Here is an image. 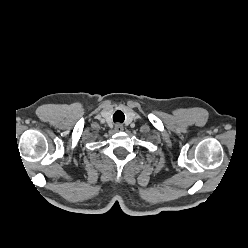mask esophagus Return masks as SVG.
I'll return each mask as SVG.
<instances>
[{
    "label": "esophagus",
    "instance_id": "34e87169",
    "mask_svg": "<svg viewBox=\"0 0 248 248\" xmlns=\"http://www.w3.org/2000/svg\"><path fill=\"white\" fill-rule=\"evenodd\" d=\"M115 131H117V132L123 131V126L121 124L117 123L115 125Z\"/></svg>",
    "mask_w": 248,
    "mask_h": 248
}]
</instances>
